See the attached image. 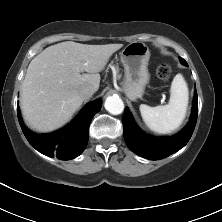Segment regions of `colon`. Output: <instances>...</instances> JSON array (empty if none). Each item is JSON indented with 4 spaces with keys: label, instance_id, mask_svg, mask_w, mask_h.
I'll use <instances>...</instances> for the list:
<instances>
[{
    "label": "colon",
    "instance_id": "5ec220e1",
    "mask_svg": "<svg viewBox=\"0 0 222 222\" xmlns=\"http://www.w3.org/2000/svg\"><path fill=\"white\" fill-rule=\"evenodd\" d=\"M157 74L161 80L167 81L172 75V68L167 63L161 64L158 67Z\"/></svg>",
    "mask_w": 222,
    "mask_h": 222
}]
</instances>
